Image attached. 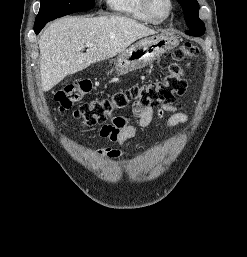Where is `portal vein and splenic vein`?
Wrapping results in <instances>:
<instances>
[{"instance_id":"18ae733b","label":"portal vein and splenic vein","mask_w":247,"mask_h":257,"mask_svg":"<svg viewBox=\"0 0 247 257\" xmlns=\"http://www.w3.org/2000/svg\"><path fill=\"white\" fill-rule=\"evenodd\" d=\"M92 46H94L93 43H86V44H85V47H92ZM83 47H84V46H83Z\"/></svg>"}]
</instances>
